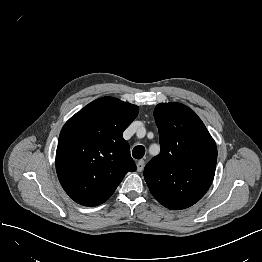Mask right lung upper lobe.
<instances>
[{
	"label": "right lung upper lobe",
	"instance_id": "obj_1",
	"mask_svg": "<svg viewBox=\"0 0 262 262\" xmlns=\"http://www.w3.org/2000/svg\"><path fill=\"white\" fill-rule=\"evenodd\" d=\"M136 105L99 98L63 126L56 151V170L66 193L84 206H97L115 191L136 165L123 131L138 114Z\"/></svg>",
	"mask_w": 262,
	"mask_h": 262
}]
</instances>
